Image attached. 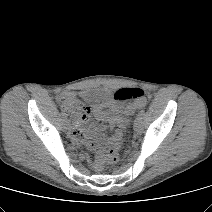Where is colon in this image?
<instances>
[{
    "label": "colon",
    "mask_w": 212,
    "mask_h": 212,
    "mask_svg": "<svg viewBox=\"0 0 212 212\" xmlns=\"http://www.w3.org/2000/svg\"><path fill=\"white\" fill-rule=\"evenodd\" d=\"M115 99L118 101H133L137 105H143L146 102V93L142 88H122L116 91ZM61 109L74 119L85 116L88 113V107L71 95L61 98ZM130 117L124 114L118 121L119 129L110 138L109 145L106 147L105 153L98 155L96 166L101 169L105 163L115 164L119 160V148L123 140V132L130 126Z\"/></svg>",
    "instance_id": "1"
}]
</instances>
